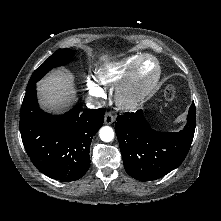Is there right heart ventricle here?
Segmentation results:
<instances>
[{
    "instance_id": "e07e8e85",
    "label": "right heart ventricle",
    "mask_w": 221,
    "mask_h": 221,
    "mask_svg": "<svg viewBox=\"0 0 221 221\" xmlns=\"http://www.w3.org/2000/svg\"><path fill=\"white\" fill-rule=\"evenodd\" d=\"M141 56L142 54H135L121 61L107 65L98 72V81L105 86L116 85L122 82L128 75L132 66Z\"/></svg>"
}]
</instances>
